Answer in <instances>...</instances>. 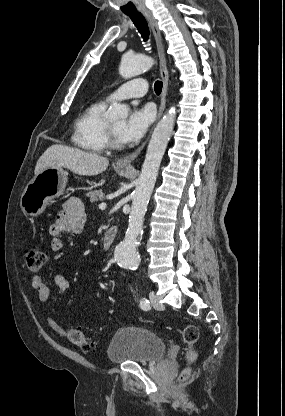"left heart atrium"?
Masks as SVG:
<instances>
[{"instance_id": "obj_1", "label": "left heart atrium", "mask_w": 285, "mask_h": 416, "mask_svg": "<svg viewBox=\"0 0 285 416\" xmlns=\"http://www.w3.org/2000/svg\"><path fill=\"white\" fill-rule=\"evenodd\" d=\"M153 120V112L149 106L134 107L127 120L119 130V138L123 143H132L143 137Z\"/></svg>"}]
</instances>
